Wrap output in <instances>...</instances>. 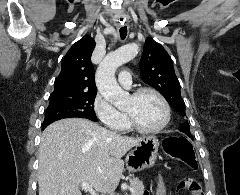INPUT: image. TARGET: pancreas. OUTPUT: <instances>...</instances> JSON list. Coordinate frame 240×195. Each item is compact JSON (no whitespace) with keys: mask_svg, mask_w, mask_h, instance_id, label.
I'll return each mask as SVG.
<instances>
[{"mask_svg":"<svg viewBox=\"0 0 240 195\" xmlns=\"http://www.w3.org/2000/svg\"><path fill=\"white\" fill-rule=\"evenodd\" d=\"M130 187H133V195H143L144 185L139 177H132L129 179Z\"/></svg>","mask_w":240,"mask_h":195,"instance_id":"cf45deb5","label":"pancreas"}]
</instances>
